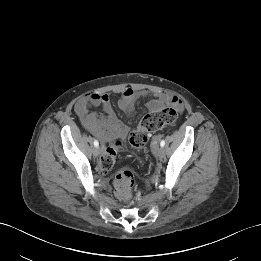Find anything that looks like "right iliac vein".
Instances as JSON below:
<instances>
[{
    "label": "right iliac vein",
    "instance_id": "obj_1",
    "mask_svg": "<svg viewBox=\"0 0 261 261\" xmlns=\"http://www.w3.org/2000/svg\"><path fill=\"white\" fill-rule=\"evenodd\" d=\"M100 152H101L100 148H98V147H95L94 150H93L94 156H99Z\"/></svg>",
    "mask_w": 261,
    "mask_h": 261
}]
</instances>
